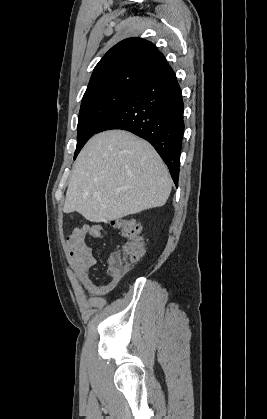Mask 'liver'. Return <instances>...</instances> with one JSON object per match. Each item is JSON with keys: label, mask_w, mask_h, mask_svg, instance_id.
<instances>
[{"label": "liver", "mask_w": 267, "mask_h": 419, "mask_svg": "<svg viewBox=\"0 0 267 419\" xmlns=\"http://www.w3.org/2000/svg\"><path fill=\"white\" fill-rule=\"evenodd\" d=\"M65 213L105 222L163 206L172 180L147 141L124 130L94 135L73 166Z\"/></svg>", "instance_id": "liver-1"}]
</instances>
